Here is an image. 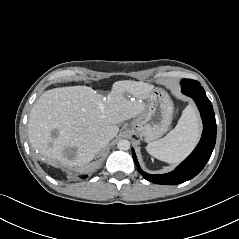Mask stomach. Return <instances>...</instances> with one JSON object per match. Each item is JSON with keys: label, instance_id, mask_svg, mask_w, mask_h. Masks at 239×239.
Instances as JSON below:
<instances>
[{"label": "stomach", "instance_id": "obj_1", "mask_svg": "<svg viewBox=\"0 0 239 239\" xmlns=\"http://www.w3.org/2000/svg\"><path fill=\"white\" fill-rule=\"evenodd\" d=\"M173 102L167 92L154 89L149 95L146 109L131 123V131L145 142H153L164 135L172 122Z\"/></svg>", "mask_w": 239, "mask_h": 239}]
</instances>
